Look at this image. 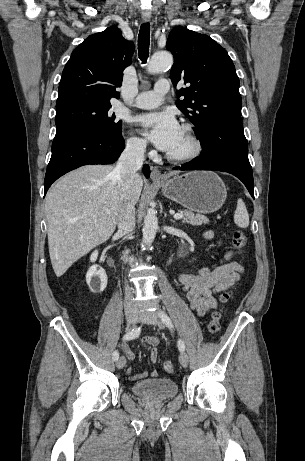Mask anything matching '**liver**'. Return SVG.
Listing matches in <instances>:
<instances>
[{
  "instance_id": "liver-1",
  "label": "liver",
  "mask_w": 305,
  "mask_h": 461,
  "mask_svg": "<svg viewBox=\"0 0 305 461\" xmlns=\"http://www.w3.org/2000/svg\"><path fill=\"white\" fill-rule=\"evenodd\" d=\"M114 170L113 166L86 165L65 175L48 191V245L57 277L114 233L121 195ZM142 186V178L135 176L131 187L135 204Z\"/></svg>"
}]
</instances>
